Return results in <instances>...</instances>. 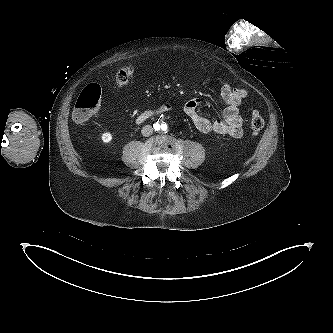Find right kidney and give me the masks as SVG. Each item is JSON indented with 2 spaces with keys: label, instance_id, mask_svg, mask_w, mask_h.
I'll return each instance as SVG.
<instances>
[{
  "label": "right kidney",
  "instance_id": "obj_1",
  "mask_svg": "<svg viewBox=\"0 0 333 333\" xmlns=\"http://www.w3.org/2000/svg\"><path fill=\"white\" fill-rule=\"evenodd\" d=\"M101 139L104 143H110L112 141V134L109 132L103 133Z\"/></svg>",
  "mask_w": 333,
  "mask_h": 333
}]
</instances>
